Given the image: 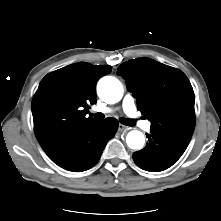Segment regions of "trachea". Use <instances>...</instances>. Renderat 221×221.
Returning <instances> with one entry per match:
<instances>
[{"label":"trachea","mask_w":221,"mask_h":221,"mask_svg":"<svg viewBox=\"0 0 221 221\" xmlns=\"http://www.w3.org/2000/svg\"><path fill=\"white\" fill-rule=\"evenodd\" d=\"M94 117L96 118V119H98V120H102V119H104V114L103 113H96L95 115H94ZM120 122L122 123V124H124V125H127V126H134L135 125V123H134V121L132 120V119H129V118H121L120 119Z\"/></svg>","instance_id":"1"}]
</instances>
